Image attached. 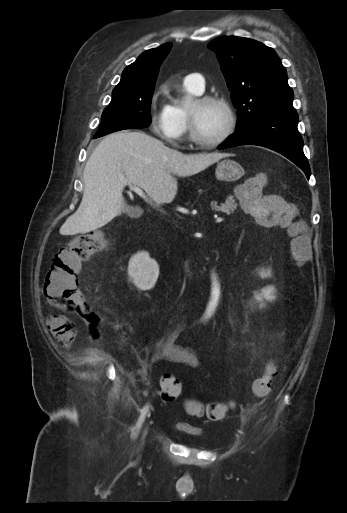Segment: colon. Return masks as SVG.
Masks as SVG:
<instances>
[{
    "label": "colon",
    "mask_w": 347,
    "mask_h": 513,
    "mask_svg": "<svg viewBox=\"0 0 347 513\" xmlns=\"http://www.w3.org/2000/svg\"><path fill=\"white\" fill-rule=\"evenodd\" d=\"M263 182L262 177H255L238 185L237 198L241 206L253 214L256 222L261 226L276 225L286 228L292 239L291 249L294 260L298 264H305L311 258V249L304 224L297 220V212L292 204L285 203L276 195H262ZM105 246L106 240L96 232L77 237L55 254L44 281L45 297L63 311H76V314L81 317L82 324L91 328L95 339L100 338L101 319L95 312V303L84 299L78 288L77 277L83 261ZM275 374V366L269 364L265 374L253 383L252 391L255 396L263 398L269 394ZM182 392V384L176 376L173 374L162 376L163 400L176 401L181 397ZM230 406L227 402L202 404L198 401H189L186 404V411L194 417L206 416L209 420L219 421L226 416Z\"/></svg>",
    "instance_id": "1"
}]
</instances>
